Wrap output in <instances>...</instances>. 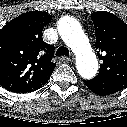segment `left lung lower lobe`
I'll list each match as a JSON object with an SVG mask.
<instances>
[{
  "mask_svg": "<svg viewBox=\"0 0 127 127\" xmlns=\"http://www.w3.org/2000/svg\"><path fill=\"white\" fill-rule=\"evenodd\" d=\"M83 82L92 92L100 96L113 94L124 89L122 85L114 81L97 76L92 80H84Z\"/></svg>",
  "mask_w": 127,
  "mask_h": 127,
  "instance_id": "0a47b994",
  "label": "left lung lower lobe"
}]
</instances>
